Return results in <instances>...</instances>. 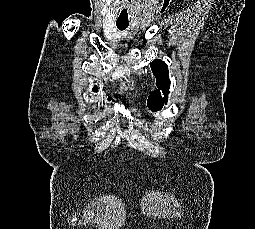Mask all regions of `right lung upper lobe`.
<instances>
[{"label": "right lung upper lobe", "mask_w": 255, "mask_h": 229, "mask_svg": "<svg viewBox=\"0 0 255 229\" xmlns=\"http://www.w3.org/2000/svg\"><path fill=\"white\" fill-rule=\"evenodd\" d=\"M93 90H94V91H97V90H98V88H97L96 86H94ZM109 100H110V99H109Z\"/></svg>", "instance_id": "1"}]
</instances>
